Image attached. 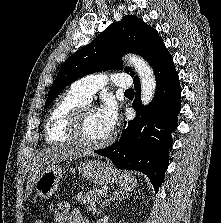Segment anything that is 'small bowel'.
I'll list each match as a JSON object with an SVG mask.
<instances>
[{
	"label": "small bowel",
	"instance_id": "small-bowel-1",
	"mask_svg": "<svg viewBox=\"0 0 221 223\" xmlns=\"http://www.w3.org/2000/svg\"><path fill=\"white\" fill-rule=\"evenodd\" d=\"M54 218L55 223H89L79 210L71 209L66 202H61L56 206Z\"/></svg>",
	"mask_w": 221,
	"mask_h": 223
}]
</instances>
